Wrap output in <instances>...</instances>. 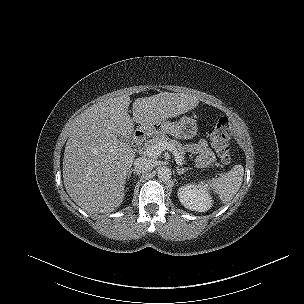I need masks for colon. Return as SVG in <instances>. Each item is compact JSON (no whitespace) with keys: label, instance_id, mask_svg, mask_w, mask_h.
Returning a JSON list of instances; mask_svg holds the SVG:
<instances>
[{"label":"colon","instance_id":"obj_1","mask_svg":"<svg viewBox=\"0 0 304 304\" xmlns=\"http://www.w3.org/2000/svg\"><path fill=\"white\" fill-rule=\"evenodd\" d=\"M231 124L227 117L220 118L211 133V143L218 157L225 163L231 160V147L228 143Z\"/></svg>","mask_w":304,"mask_h":304}]
</instances>
